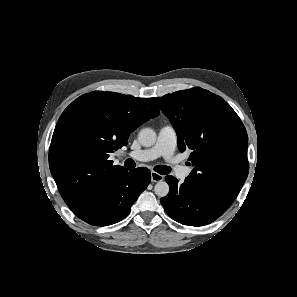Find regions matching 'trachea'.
Segmentation results:
<instances>
[{"label":"trachea","mask_w":297,"mask_h":297,"mask_svg":"<svg viewBox=\"0 0 297 297\" xmlns=\"http://www.w3.org/2000/svg\"><path fill=\"white\" fill-rule=\"evenodd\" d=\"M124 166L127 168H134L136 166L135 162L132 159H127L124 162ZM154 170L162 175L168 174L171 172V168L165 165H158L154 168Z\"/></svg>","instance_id":"3493384b"}]
</instances>
